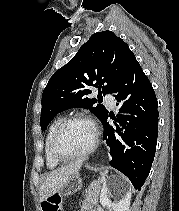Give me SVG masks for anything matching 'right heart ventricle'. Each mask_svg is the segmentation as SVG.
Wrapping results in <instances>:
<instances>
[{
	"label": "right heart ventricle",
	"instance_id": "right-heart-ventricle-1",
	"mask_svg": "<svg viewBox=\"0 0 179 211\" xmlns=\"http://www.w3.org/2000/svg\"><path fill=\"white\" fill-rule=\"evenodd\" d=\"M63 120V118H58L50 125L46 138H45V146H44V153H45V161L48 168L53 169L56 168L60 162L54 159V157L51 154V141L53 134L60 124V122Z\"/></svg>",
	"mask_w": 179,
	"mask_h": 211
}]
</instances>
